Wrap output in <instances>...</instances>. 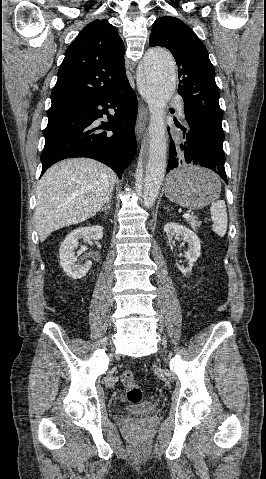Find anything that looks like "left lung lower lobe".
I'll use <instances>...</instances> for the list:
<instances>
[{
	"instance_id": "obj_1",
	"label": "left lung lower lobe",
	"mask_w": 266,
	"mask_h": 479,
	"mask_svg": "<svg viewBox=\"0 0 266 479\" xmlns=\"http://www.w3.org/2000/svg\"><path fill=\"white\" fill-rule=\"evenodd\" d=\"M177 127L183 131L182 138L177 143L170 139L167 173L183 164H194L213 170L228 184L225 158H212L207 144L192 128L181 125Z\"/></svg>"
}]
</instances>
